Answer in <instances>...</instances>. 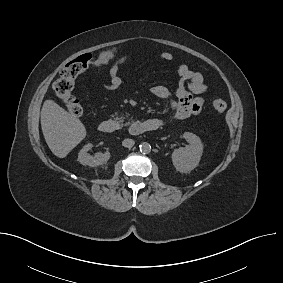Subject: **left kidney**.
I'll use <instances>...</instances> for the list:
<instances>
[{
  "instance_id": "left-kidney-1",
  "label": "left kidney",
  "mask_w": 283,
  "mask_h": 283,
  "mask_svg": "<svg viewBox=\"0 0 283 283\" xmlns=\"http://www.w3.org/2000/svg\"><path fill=\"white\" fill-rule=\"evenodd\" d=\"M183 138L189 145L175 149L172 153V161L177 171L186 173L198 166L203 153V144L198 136L190 132H185Z\"/></svg>"
}]
</instances>
